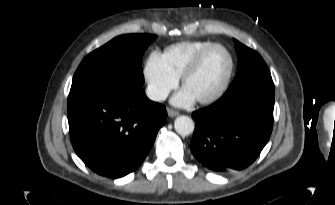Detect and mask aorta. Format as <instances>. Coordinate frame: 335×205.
I'll list each match as a JSON object with an SVG mask.
<instances>
[{
	"instance_id": "obj_1",
	"label": "aorta",
	"mask_w": 335,
	"mask_h": 205,
	"mask_svg": "<svg viewBox=\"0 0 335 205\" xmlns=\"http://www.w3.org/2000/svg\"><path fill=\"white\" fill-rule=\"evenodd\" d=\"M176 132L182 136L190 135L195 128L194 121L188 116H179L174 121Z\"/></svg>"
}]
</instances>
